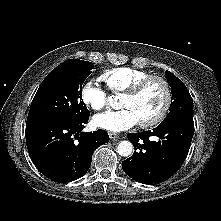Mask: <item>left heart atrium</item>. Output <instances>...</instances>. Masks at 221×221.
Masks as SVG:
<instances>
[{
  "label": "left heart atrium",
  "mask_w": 221,
  "mask_h": 221,
  "mask_svg": "<svg viewBox=\"0 0 221 221\" xmlns=\"http://www.w3.org/2000/svg\"><path fill=\"white\" fill-rule=\"evenodd\" d=\"M93 123L99 128L119 132L133 127L139 123V120L131 109L123 108L119 111H109L96 115L93 118Z\"/></svg>",
  "instance_id": "1"
}]
</instances>
